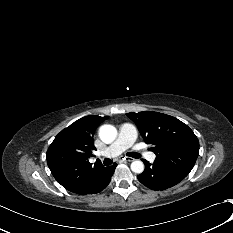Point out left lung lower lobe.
Wrapping results in <instances>:
<instances>
[{
    "mask_svg": "<svg viewBox=\"0 0 233 233\" xmlns=\"http://www.w3.org/2000/svg\"><path fill=\"white\" fill-rule=\"evenodd\" d=\"M145 170L137 176L138 180L152 190H165L179 182L186 176L172 168L154 161L152 164L144 160Z\"/></svg>",
    "mask_w": 233,
    "mask_h": 233,
    "instance_id": "1",
    "label": "left lung lower lobe"
}]
</instances>
